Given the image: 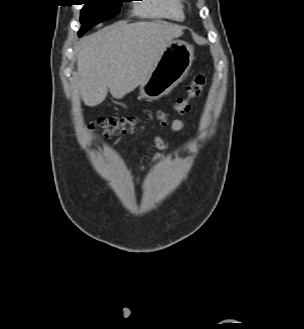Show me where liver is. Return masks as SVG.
Instances as JSON below:
<instances>
[{
    "instance_id": "obj_1",
    "label": "liver",
    "mask_w": 304,
    "mask_h": 329,
    "mask_svg": "<svg viewBox=\"0 0 304 329\" xmlns=\"http://www.w3.org/2000/svg\"><path fill=\"white\" fill-rule=\"evenodd\" d=\"M183 34L168 22L116 23L81 39L76 86L85 105L102 103L108 93L122 99L145 82L167 43Z\"/></svg>"
}]
</instances>
